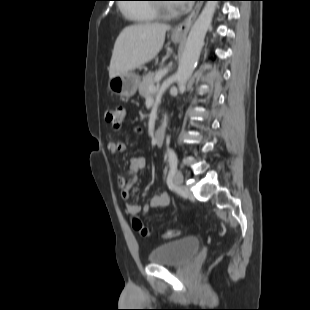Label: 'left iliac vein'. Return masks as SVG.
<instances>
[{
	"label": "left iliac vein",
	"mask_w": 310,
	"mask_h": 310,
	"mask_svg": "<svg viewBox=\"0 0 310 310\" xmlns=\"http://www.w3.org/2000/svg\"><path fill=\"white\" fill-rule=\"evenodd\" d=\"M174 182L177 188L181 189L184 182V177L182 175V172L180 170H176L174 175Z\"/></svg>",
	"instance_id": "obj_1"
}]
</instances>
